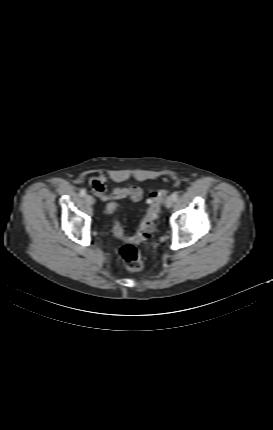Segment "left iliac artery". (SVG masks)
Instances as JSON below:
<instances>
[{
    "mask_svg": "<svg viewBox=\"0 0 273 430\" xmlns=\"http://www.w3.org/2000/svg\"><path fill=\"white\" fill-rule=\"evenodd\" d=\"M172 197H173V199L176 201L177 199H178V197H179V192H174V193H172V195H171Z\"/></svg>",
    "mask_w": 273,
    "mask_h": 430,
    "instance_id": "1",
    "label": "left iliac artery"
}]
</instances>
